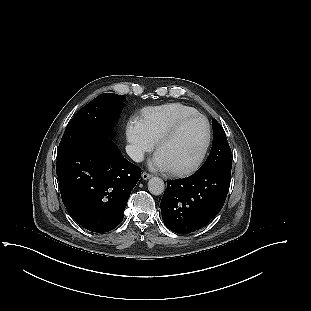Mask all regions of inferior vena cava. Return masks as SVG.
I'll return each mask as SVG.
<instances>
[{"label":"inferior vena cava","instance_id":"obj_1","mask_svg":"<svg viewBox=\"0 0 311 311\" xmlns=\"http://www.w3.org/2000/svg\"><path fill=\"white\" fill-rule=\"evenodd\" d=\"M125 149L126 153L133 161L142 162L144 160V154L139 147L134 145H127Z\"/></svg>","mask_w":311,"mask_h":311}]
</instances>
